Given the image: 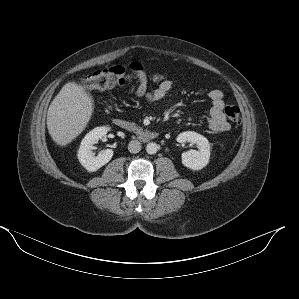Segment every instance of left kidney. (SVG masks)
Listing matches in <instances>:
<instances>
[{
	"label": "left kidney",
	"instance_id": "obj_1",
	"mask_svg": "<svg viewBox=\"0 0 299 299\" xmlns=\"http://www.w3.org/2000/svg\"><path fill=\"white\" fill-rule=\"evenodd\" d=\"M177 142L196 144L198 150H189L182 153V164L192 170H201L207 166L210 159V144L206 137L193 131L180 133Z\"/></svg>",
	"mask_w": 299,
	"mask_h": 299
}]
</instances>
